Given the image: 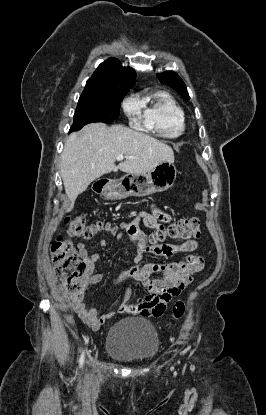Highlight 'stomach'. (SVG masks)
<instances>
[{"mask_svg": "<svg viewBox=\"0 0 266 415\" xmlns=\"http://www.w3.org/2000/svg\"><path fill=\"white\" fill-rule=\"evenodd\" d=\"M177 170L173 162L164 161L146 174H128L119 181H109L101 191L108 200H121L130 196L144 197L171 188Z\"/></svg>", "mask_w": 266, "mask_h": 415, "instance_id": "stomach-1", "label": "stomach"}]
</instances>
